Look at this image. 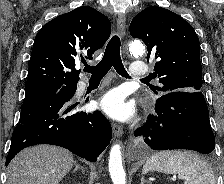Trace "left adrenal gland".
<instances>
[{"instance_id":"left-adrenal-gland-1","label":"left adrenal gland","mask_w":224,"mask_h":184,"mask_svg":"<svg viewBox=\"0 0 224 184\" xmlns=\"http://www.w3.org/2000/svg\"><path fill=\"white\" fill-rule=\"evenodd\" d=\"M146 180L144 179V177H141V184H145Z\"/></svg>"}]
</instances>
